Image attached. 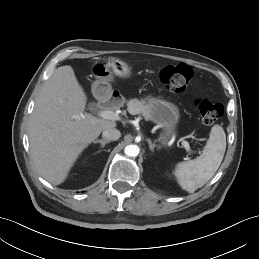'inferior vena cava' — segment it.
<instances>
[{
	"label": "inferior vena cava",
	"mask_w": 259,
	"mask_h": 259,
	"mask_svg": "<svg viewBox=\"0 0 259 259\" xmlns=\"http://www.w3.org/2000/svg\"><path fill=\"white\" fill-rule=\"evenodd\" d=\"M102 137L108 141H116L121 137V133L115 128H109L102 132Z\"/></svg>",
	"instance_id": "obj_1"
}]
</instances>
